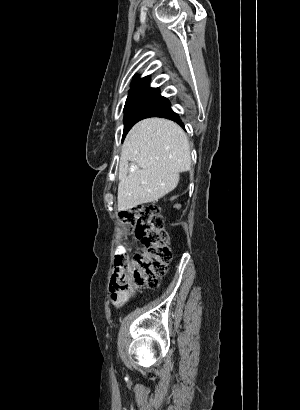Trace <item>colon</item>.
Here are the masks:
<instances>
[{"label": "colon", "instance_id": "1", "mask_svg": "<svg viewBox=\"0 0 300 410\" xmlns=\"http://www.w3.org/2000/svg\"><path fill=\"white\" fill-rule=\"evenodd\" d=\"M120 217L144 251L116 258L110 288L113 292H127L134 286L156 287L172 260L160 207L146 203L122 212Z\"/></svg>", "mask_w": 300, "mask_h": 410}]
</instances>
